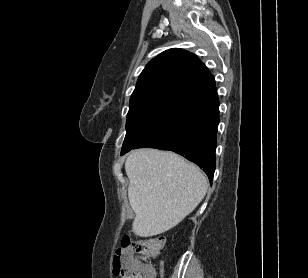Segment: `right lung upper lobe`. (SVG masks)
Segmentation results:
<instances>
[{
    "instance_id": "obj_1",
    "label": "right lung upper lobe",
    "mask_w": 308,
    "mask_h": 278,
    "mask_svg": "<svg viewBox=\"0 0 308 278\" xmlns=\"http://www.w3.org/2000/svg\"><path fill=\"white\" fill-rule=\"evenodd\" d=\"M216 91L213 75L196 55L169 49L142 71L130 98L127 118L154 112L178 114Z\"/></svg>"
}]
</instances>
